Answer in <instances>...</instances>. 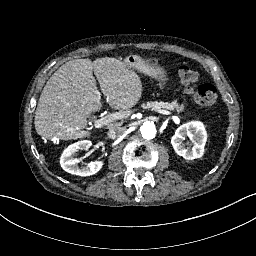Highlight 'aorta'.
<instances>
[{
  "mask_svg": "<svg viewBox=\"0 0 256 256\" xmlns=\"http://www.w3.org/2000/svg\"><path fill=\"white\" fill-rule=\"evenodd\" d=\"M157 126L153 122H144L140 128L142 137L144 139H153L157 133Z\"/></svg>",
  "mask_w": 256,
  "mask_h": 256,
  "instance_id": "obj_1",
  "label": "aorta"
}]
</instances>
